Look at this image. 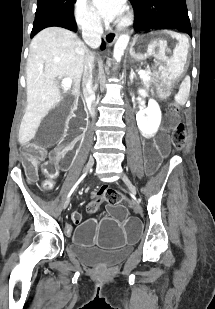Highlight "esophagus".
<instances>
[{"label":"esophagus","mask_w":215,"mask_h":309,"mask_svg":"<svg viewBox=\"0 0 215 309\" xmlns=\"http://www.w3.org/2000/svg\"><path fill=\"white\" fill-rule=\"evenodd\" d=\"M117 38V33L115 32H107L104 36V39L108 45H112Z\"/></svg>","instance_id":"34e87169"}]
</instances>
